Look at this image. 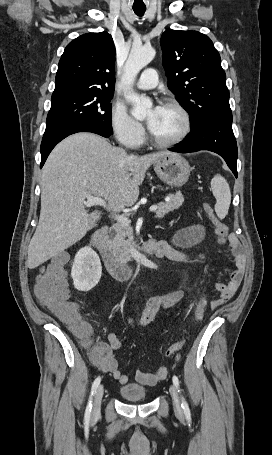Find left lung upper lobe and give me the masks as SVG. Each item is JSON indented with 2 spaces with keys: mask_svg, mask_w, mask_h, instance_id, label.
I'll return each mask as SVG.
<instances>
[{
  "mask_svg": "<svg viewBox=\"0 0 272 455\" xmlns=\"http://www.w3.org/2000/svg\"><path fill=\"white\" fill-rule=\"evenodd\" d=\"M167 85L190 115V126L231 114L226 75L211 39L197 31L167 30L161 36Z\"/></svg>",
  "mask_w": 272,
  "mask_h": 455,
  "instance_id": "1",
  "label": "left lung upper lobe"
}]
</instances>
